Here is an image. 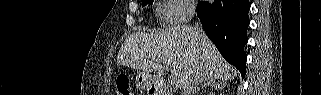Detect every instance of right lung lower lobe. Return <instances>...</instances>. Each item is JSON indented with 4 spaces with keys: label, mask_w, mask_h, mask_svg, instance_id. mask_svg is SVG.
I'll use <instances>...</instances> for the list:
<instances>
[{
    "label": "right lung lower lobe",
    "mask_w": 321,
    "mask_h": 95,
    "mask_svg": "<svg viewBox=\"0 0 321 95\" xmlns=\"http://www.w3.org/2000/svg\"><path fill=\"white\" fill-rule=\"evenodd\" d=\"M249 9L248 0L200 1L197 6V15L207 36L243 78L246 73L244 46L248 41Z\"/></svg>",
    "instance_id": "98d812e1"
}]
</instances>
